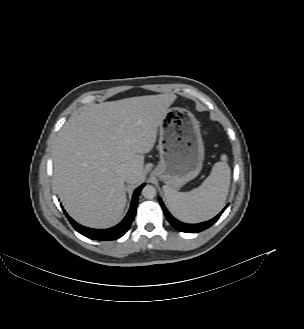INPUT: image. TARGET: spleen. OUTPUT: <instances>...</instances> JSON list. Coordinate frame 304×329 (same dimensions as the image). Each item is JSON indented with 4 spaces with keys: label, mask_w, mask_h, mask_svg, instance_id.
<instances>
[{
    "label": "spleen",
    "mask_w": 304,
    "mask_h": 329,
    "mask_svg": "<svg viewBox=\"0 0 304 329\" xmlns=\"http://www.w3.org/2000/svg\"><path fill=\"white\" fill-rule=\"evenodd\" d=\"M231 170L227 156L214 164L210 175L198 187L181 193L165 185L166 201L172 213L187 223H199L209 220L223 208L228 195Z\"/></svg>",
    "instance_id": "1"
}]
</instances>
